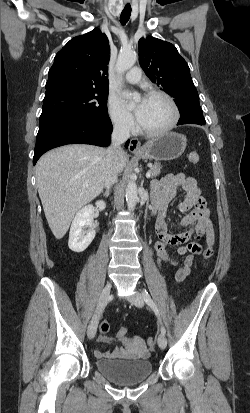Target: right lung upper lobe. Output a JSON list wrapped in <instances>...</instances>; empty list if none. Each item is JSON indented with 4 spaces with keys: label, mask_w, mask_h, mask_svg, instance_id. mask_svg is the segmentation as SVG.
<instances>
[{
    "label": "right lung upper lobe",
    "mask_w": 250,
    "mask_h": 413,
    "mask_svg": "<svg viewBox=\"0 0 250 413\" xmlns=\"http://www.w3.org/2000/svg\"><path fill=\"white\" fill-rule=\"evenodd\" d=\"M109 54L107 36L98 28L74 37L56 54L48 73L46 92L63 85L109 89Z\"/></svg>",
    "instance_id": "right-lung-upper-lobe-1"
}]
</instances>
